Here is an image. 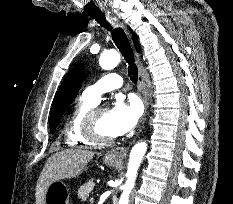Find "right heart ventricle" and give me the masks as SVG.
<instances>
[{"label":"right heart ventricle","instance_id":"obj_1","mask_svg":"<svg viewBox=\"0 0 233 204\" xmlns=\"http://www.w3.org/2000/svg\"><path fill=\"white\" fill-rule=\"evenodd\" d=\"M95 105L96 103L82 96L73 106L64 127V137L68 146L88 147L96 145L85 136L83 130L85 116Z\"/></svg>","mask_w":233,"mask_h":204}]
</instances>
